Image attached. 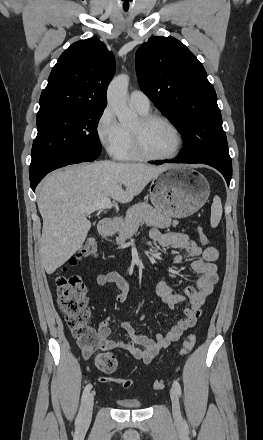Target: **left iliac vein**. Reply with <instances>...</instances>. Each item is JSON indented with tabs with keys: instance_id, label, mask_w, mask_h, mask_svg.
<instances>
[{
	"instance_id": "1",
	"label": "left iliac vein",
	"mask_w": 263,
	"mask_h": 440,
	"mask_svg": "<svg viewBox=\"0 0 263 440\" xmlns=\"http://www.w3.org/2000/svg\"><path fill=\"white\" fill-rule=\"evenodd\" d=\"M170 397L172 402V414L173 418L176 422L182 421V415L180 410V403H179V397L174 388H171L170 390Z\"/></svg>"
}]
</instances>
